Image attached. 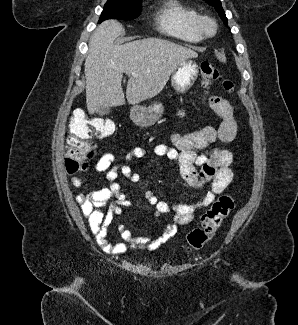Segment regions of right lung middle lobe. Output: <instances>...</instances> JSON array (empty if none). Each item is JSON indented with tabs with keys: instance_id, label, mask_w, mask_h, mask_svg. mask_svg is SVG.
I'll list each match as a JSON object with an SVG mask.
<instances>
[{
	"instance_id": "dd1d6c3e",
	"label": "right lung middle lobe",
	"mask_w": 298,
	"mask_h": 325,
	"mask_svg": "<svg viewBox=\"0 0 298 325\" xmlns=\"http://www.w3.org/2000/svg\"><path fill=\"white\" fill-rule=\"evenodd\" d=\"M141 3L127 1H111L105 4L99 23L106 19L132 20L140 15Z\"/></svg>"
}]
</instances>
